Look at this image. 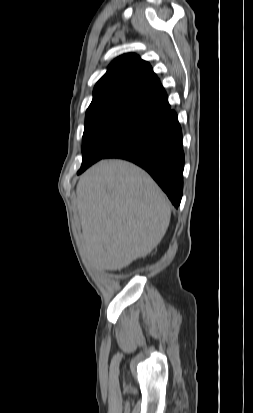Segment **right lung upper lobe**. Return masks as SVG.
<instances>
[{"instance_id": "cb5924a9", "label": "right lung upper lobe", "mask_w": 253, "mask_h": 413, "mask_svg": "<svg viewBox=\"0 0 253 413\" xmlns=\"http://www.w3.org/2000/svg\"><path fill=\"white\" fill-rule=\"evenodd\" d=\"M126 109L162 118L171 107L150 64L136 54H124L109 65L97 82L86 115Z\"/></svg>"}]
</instances>
